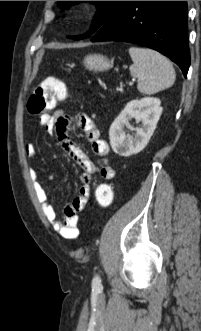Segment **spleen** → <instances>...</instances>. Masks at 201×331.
Instances as JSON below:
<instances>
[{"label": "spleen", "mask_w": 201, "mask_h": 331, "mask_svg": "<svg viewBox=\"0 0 201 331\" xmlns=\"http://www.w3.org/2000/svg\"><path fill=\"white\" fill-rule=\"evenodd\" d=\"M133 64L130 74L138 78L137 88L143 94H154L171 87L176 78L171 62L159 52L140 47H130Z\"/></svg>", "instance_id": "obj_1"}]
</instances>
